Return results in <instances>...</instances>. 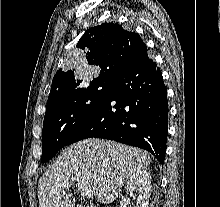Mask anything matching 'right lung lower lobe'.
<instances>
[{
  "mask_svg": "<svg viewBox=\"0 0 220 207\" xmlns=\"http://www.w3.org/2000/svg\"><path fill=\"white\" fill-rule=\"evenodd\" d=\"M167 134V89L160 69L145 53L108 83L101 106L76 129L69 144L110 139L145 149L163 164Z\"/></svg>",
  "mask_w": 220,
  "mask_h": 207,
  "instance_id": "right-lung-lower-lobe-1",
  "label": "right lung lower lobe"
}]
</instances>
